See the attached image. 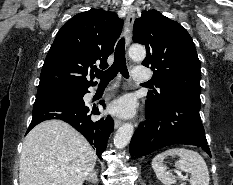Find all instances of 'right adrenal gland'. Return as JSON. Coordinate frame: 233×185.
Returning a JSON list of instances; mask_svg holds the SVG:
<instances>
[{"instance_id":"right-adrenal-gland-1","label":"right adrenal gland","mask_w":233,"mask_h":185,"mask_svg":"<svg viewBox=\"0 0 233 185\" xmlns=\"http://www.w3.org/2000/svg\"><path fill=\"white\" fill-rule=\"evenodd\" d=\"M87 181H90V182H97L98 179H97V172L96 170H94L87 178H86Z\"/></svg>"}]
</instances>
